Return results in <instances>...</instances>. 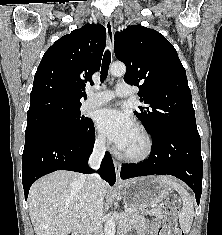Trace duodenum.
I'll list each match as a JSON object with an SVG mask.
<instances>
[{
    "label": "duodenum",
    "instance_id": "410a0bca",
    "mask_svg": "<svg viewBox=\"0 0 222 235\" xmlns=\"http://www.w3.org/2000/svg\"><path fill=\"white\" fill-rule=\"evenodd\" d=\"M72 235H85V230L82 225H78L74 228Z\"/></svg>",
    "mask_w": 222,
    "mask_h": 235
}]
</instances>
